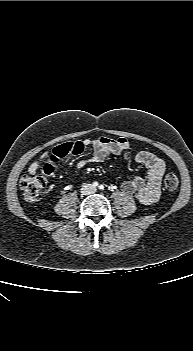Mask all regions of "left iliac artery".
Returning <instances> with one entry per match:
<instances>
[{
  "mask_svg": "<svg viewBox=\"0 0 193 351\" xmlns=\"http://www.w3.org/2000/svg\"><path fill=\"white\" fill-rule=\"evenodd\" d=\"M99 189H100V190H104V186H103V185H100V186H99Z\"/></svg>",
  "mask_w": 193,
  "mask_h": 351,
  "instance_id": "44dca946",
  "label": "left iliac artery"
}]
</instances>
